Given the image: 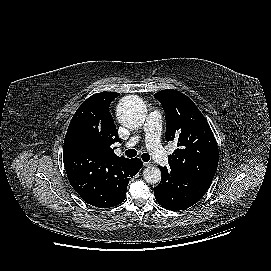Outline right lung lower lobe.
Listing matches in <instances>:
<instances>
[{"instance_id": "98d812e1", "label": "right lung lower lobe", "mask_w": 271, "mask_h": 271, "mask_svg": "<svg viewBox=\"0 0 271 271\" xmlns=\"http://www.w3.org/2000/svg\"><path fill=\"white\" fill-rule=\"evenodd\" d=\"M70 184L88 204L109 208L125 200L130 178L141 169L139 158L111 160L82 151H64Z\"/></svg>"}]
</instances>
